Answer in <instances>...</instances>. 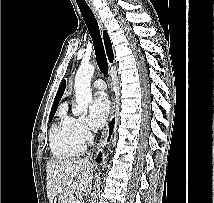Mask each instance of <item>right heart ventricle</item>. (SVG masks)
<instances>
[{"instance_id": "obj_1", "label": "right heart ventricle", "mask_w": 214, "mask_h": 203, "mask_svg": "<svg viewBox=\"0 0 214 203\" xmlns=\"http://www.w3.org/2000/svg\"><path fill=\"white\" fill-rule=\"evenodd\" d=\"M50 148L52 154L60 160L78 156L84 150V144L75 136L70 118L61 115L53 124L50 133Z\"/></svg>"}]
</instances>
